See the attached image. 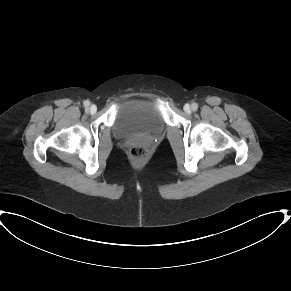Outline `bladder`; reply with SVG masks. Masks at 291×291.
<instances>
[{
    "label": "bladder",
    "instance_id": "obj_1",
    "mask_svg": "<svg viewBox=\"0 0 291 291\" xmlns=\"http://www.w3.org/2000/svg\"><path fill=\"white\" fill-rule=\"evenodd\" d=\"M164 118L156 105L148 100L131 98L123 103L114 116L112 129L119 139L161 134Z\"/></svg>",
    "mask_w": 291,
    "mask_h": 291
}]
</instances>
